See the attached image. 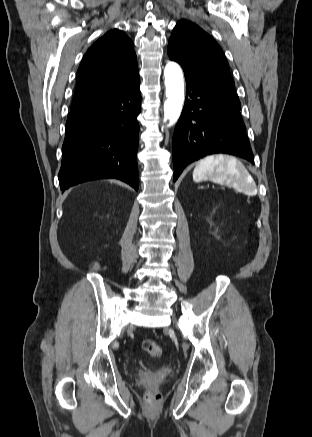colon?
Listing matches in <instances>:
<instances>
[{"instance_id": "5ec220e1", "label": "colon", "mask_w": 312, "mask_h": 437, "mask_svg": "<svg viewBox=\"0 0 312 437\" xmlns=\"http://www.w3.org/2000/svg\"><path fill=\"white\" fill-rule=\"evenodd\" d=\"M143 350L153 358H159L162 355L161 346L154 340L146 339L142 342ZM147 401L154 402L160 399V394L154 389H150L146 393Z\"/></svg>"}]
</instances>
